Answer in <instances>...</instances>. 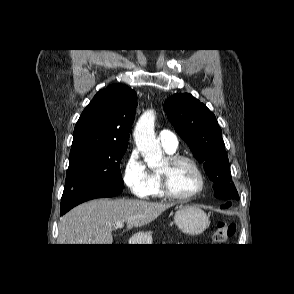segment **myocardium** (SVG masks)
Listing matches in <instances>:
<instances>
[{"label":"myocardium","mask_w":294,"mask_h":294,"mask_svg":"<svg viewBox=\"0 0 294 294\" xmlns=\"http://www.w3.org/2000/svg\"><path fill=\"white\" fill-rule=\"evenodd\" d=\"M166 161L168 164V168L164 171L159 170L158 172L160 176V187L165 196L174 200L189 201L196 198L199 194H201L204 191L206 187V177L196 160L188 156L176 154L169 156ZM182 163L189 164L195 170L199 177V187L196 191L189 195L178 194L171 187L170 171Z\"/></svg>","instance_id":"f54148a6"}]
</instances>
